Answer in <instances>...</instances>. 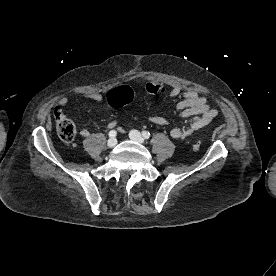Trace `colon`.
I'll return each instance as SVG.
<instances>
[{
	"instance_id": "obj_1",
	"label": "colon",
	"mask_w": 276,
	"mask_h": 276,
	"mask_svg": "<svg viewBox=\"0 0 276 276\" xmlns=\"http://www.w3.org/2000/svg\"><path fill=\"white\" fill-rule=\"evenodd\" d=\"M134 92L130 88L112 90L107 95V102L111 107H120L132 102ZM55 128L58 136L65 143H72L76 137V126L73 121L66 116L60 106H56L53 111ZM201 147L200 142H194L191 146L193 151H198Z\"/></svg>"
}]
</instances>
